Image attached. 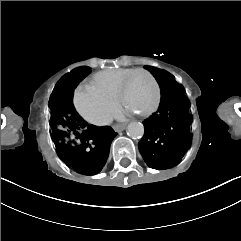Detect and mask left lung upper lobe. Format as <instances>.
Instances as JSON below:
<instances>
[{
    "label": "left lung upper lobe",
    "instance_id": "obj_1",
    "mask_svg": "<svg viewBox=\"0 0 241 241\" xmlns=\"http://www.w3.org/2000/svg\"><path fill=\"white\" fill-rule=\"evenodd\" d=\"M145 68L148 69L154 75V77H156L161 87V92H164L170 87L179 85L170 73L151 66H145Z\"/></svg>",
    "mask_w": 241,
    "mask_h": 241
}]
</instances>
